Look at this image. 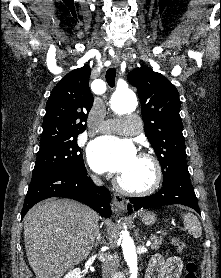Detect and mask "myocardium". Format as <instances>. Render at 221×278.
I'll return each mask as SVG.
<instances>
[{
    "label": "myocardium",
    "instance_id": "obj_1",
    "mask_svg": "<svg viewBox=\"0 0 221 278\" xmlns=\"http://www.w3.org/2000/svg\"><path fill=\"white\" fill-rule=\"evenodd\" d=\"M138 156L148 160L152 164L154 170V178L152 183L148 187L143 189H133L124 185L123 182L120 180V177H117L114 181V185L120 192L126 195H131V196L151 195L159 189L162 183V179H163L162 166L158 158L149 152L141 151L139 152Z\"/></svg>",
    "mask_w": 221,
    "mask_h": 278
}]
</instances>
